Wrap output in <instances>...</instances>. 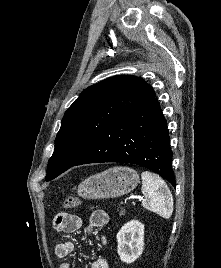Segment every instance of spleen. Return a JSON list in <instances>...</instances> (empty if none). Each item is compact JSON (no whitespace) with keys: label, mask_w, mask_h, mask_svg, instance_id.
Masks as SVG:
<instances>
[{"label":"spleen","mask_w":221,"mask_h":268,"mask_svg":"<svg viewBox=\"0 0 221 268\" xmlns=\"http://www.w3.org/2000/svg\"><path fill=\"white\" fill-rule=\"evenodd\" d=\"M141 178V191L145 195L142 206L165 219L170 218L173 212V197L165 181L149 171H144Z\"/></svg>","instance_id":"1"}]
</instances>
